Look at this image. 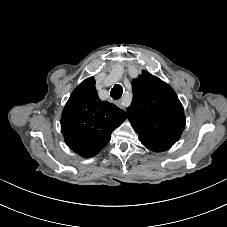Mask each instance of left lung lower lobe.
Segmentation results:
<instances>
[{"instance_id":"obj_1","label":"left lung lower lobe","mask_w":227,"mask_h":227,"mask_svg":"<svg viewBox=\"0 0 227 227\" xmlns=\"http://www.w3.org/2000/svg\"><path fill=\"white\" fill-rule=\"evenodd\" d=\"M136 132L139 136L140 142L152 151L161 152L168 150L172 146L171 143L159 139L158 137L151 135L144 130H137Z\"/></svg>"}]
</instances>
